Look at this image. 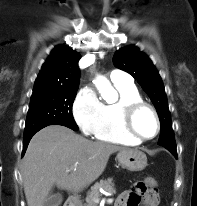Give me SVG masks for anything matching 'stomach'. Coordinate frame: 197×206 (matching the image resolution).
<instances>
[{"label":"stomach","mask_w":197,"mask_h":206,"mask_svg":"<svg viewBox=\"0 0 197 206\" xmlns=\"http://www.w3.org/2000/svg\"><path fill=\"white\" fill-rule=\"evenodd\" d=\"M117 159L121 166L129 171H141L147 166V157L139 150L119 151Z\"/></svg>","instance_id":"1"}]
</instances>
